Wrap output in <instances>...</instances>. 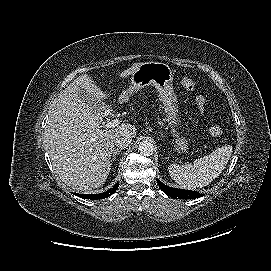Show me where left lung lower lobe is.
Returning a JSON list of instances; mask_svg holds the SVG:
<instances>
[{"label":"left lung lower lobe","instance_id":"0a47b994","mask_svg":"<svg viewBox=\"0 0 271 271\" xmlns=\"http://www.w3.org/2000/svg\"><path fill=\"white\" fill-rule=\"evenodd\" d=\"M157 183L161 190L170 197L178 198V199H195L202 197L203 194L197 193L196 191L184 190V189H176L172 187H168L164 185L162 182L157 180Z\"/></svg>","mask_w":271,"mask_h":271}]
</instances>
